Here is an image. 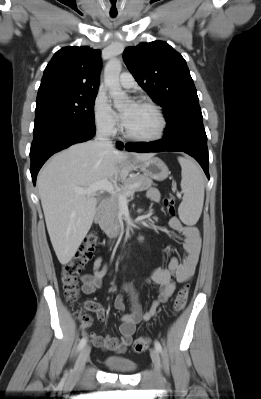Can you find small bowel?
<instances>
[{"mask_svg":"<svg viewBox=\"0 0 261 399\" xmlns=\"http://www.w3.org/2000/svg\"><path fill=\"white\" fill-rule=\"evenodd\" d=\"M147 198L152 202H158L159 193L155 188H149L146 192ZM170 227L184 237L182 249L185 253L180 262L177 258L170 259L167 268H157L147 278L148 284L158 287V298L153 300L148 309L144 312L139 301L138 293L132 282L123 284L121 294H118L114 300V308L118 311H124V294L128 295L131 302V312L125 313L121 317L119 327L120 337L105 336L102 337L95 333H89L92 343L104 350L114 353H123L131 345L136 325L140 322L149 321L154 317L157 307L166 302L175 291V281L183 283L190 280L194 275L199 261L202 238L200 231L195 226L184 225L178 217H172L169 220ZM92 273L82 276V291L84 294H92L96 289L102 286L103 278L108 271V265L101 256L93 261ZM87 306L93 310L100 321L105 320V310L95 302H88Z\"/></svg>","mask_w":261,"mask_h":399,"instance_id":"small-bowel-1","label":"small bowel"}]
</instances>
